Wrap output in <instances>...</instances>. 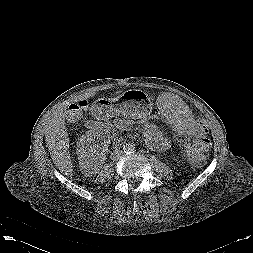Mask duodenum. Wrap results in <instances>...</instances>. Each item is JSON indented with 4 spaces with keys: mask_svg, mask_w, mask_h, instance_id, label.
I'll use <instances>...</instances> for the list:
<instances>
[{
    "mask_svg": "<svg viewBox=\"0 0 253 253\" xmlns=\"http://www.w3.org/2000/svg\"><path fill=\"white\" fill-rule=\"evenodd\" d=\"M97 109H99L98 106H95V107H94V111H96Z\"/></svg>",
    "mask_w": 253,
    "mask_h": 253,
    "instance_id": "obj_1",
    "label": "duodenum"
}]
</instances>
